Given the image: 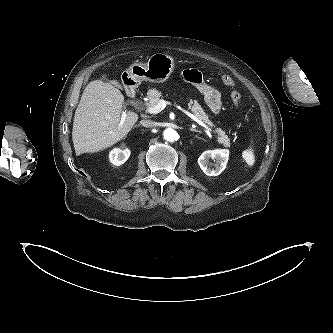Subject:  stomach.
I'll return each instance as SVG.
<instances>
[{
	"label": "stomach",
	"instance_id": "1",
	"mask_svg": "<svg viewBox=\"0 0 333 333\" xmlns=\"http://www.w3.org/2000/svg\"><path fill=\"white\" fill-rule=\"evenodd\" d=\"M174 59L163 53H156L149 57L146 63H133L126 71V77L131 85L137 86L142 81L163 83L174 71Z\"/></svg>",
	"mask_w": 333,
	"mask_h": 333
}]
</instances>
